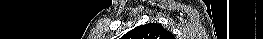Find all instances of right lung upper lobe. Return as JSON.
<instances>
[{
  "label": "right lung upper lobe",
  "instance_id": "1",
  "mask_svg": "<svg viewBox=\"0 0 263 39\" xmlns=\"http://www.w3.org/2000/svg\"><path fill=\"white\" fill-rule=\"evenodd\" d=\"M123 38L132 39H173L172 33L157 23H149L136 27L126 33Z\"/></svg>",
  "mask_w": 263,
  "mask_h": 39
}]
</instances>
